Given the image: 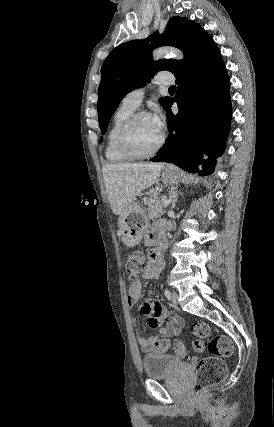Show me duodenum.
Returning a JSON list of instances; mask_svg holds the SVG:
<instances>
[{"label":"duodenum","mask_w":274,"mask_h":427,"mask_svg":"<svg viewBox=\"0 0 274 427\" xmlns=\"http://www.w3.org/2000/svg\"><path fill=\"white\" fill-rule=\"evenodd\" d=\"M161 237H162V234L160 235L159 238ZM161 254H162V244L158 243L157 245L153 246V248L149 253L150 261L153 263H158L160 260Z\"/></svg>","instance_id":"duodenum-1"}]
</instances>
